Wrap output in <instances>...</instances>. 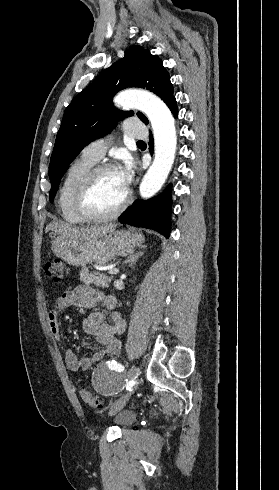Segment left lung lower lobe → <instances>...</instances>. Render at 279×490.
<instances>
[{"mask_svg": "<svg viewBox=\"0 0 279 490\" xmlns=\"http://www.w3.org/2000/svg\"><path fill=\"white\" fill-rule=\"evenodd\" d=\"M167 106L174 115H177V103L173 96ZM150 151L153 148V139L150 135ZM171 185H169L160 195L149 200H136L120 217L119 222L135 227L153 229L166 238L171 231Z\"/></svg>", "mask_w": 279, "mask_h": 490, "instance_id": "1", "label": "left lung lower lobe"}]
</instances>
